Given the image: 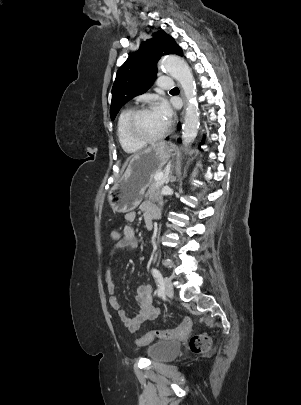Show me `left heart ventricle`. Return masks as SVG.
<instances>
[{
	"label": "left heart ventricle",
	"instance_id": "obj_1",
	"mask_svg": "<svg viewBox=\"0 0 301 405\" xmlns=\"http://www.w3.org/2000/svg\"><path fill=\"white\" fill-rule=\"evenodd\" d=\"M167 126V121L154 109H150L139 116L136 122V132L144 137H154Z\"/></svg>",
	"mask_w": 301,
	"mask_h": 405
}]
</instances>
